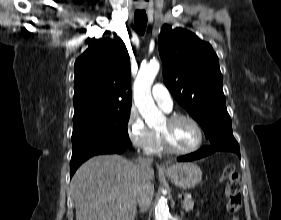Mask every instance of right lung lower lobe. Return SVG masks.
I'll return each mask as SVG.
<instances>
[{"label":"right lung lower lobe","instance_id":"98d812e1","mask_svg":"<svg viewBox=\"0 0 281 220\" xmlns=\"http://www.w3.org/2000/svg\"><path fill=\"white\" fill-rule=\"evenodd\" d=\"M129 147L121 145H109L104 147H87L73 152L70 162V176H73L77 168L87 159L100 154H121Z\"/></svg>","mask_w":281,"mask_h":220}]
</instances>
